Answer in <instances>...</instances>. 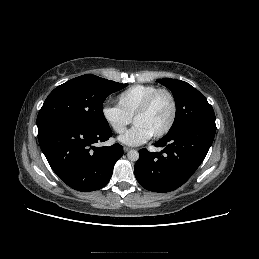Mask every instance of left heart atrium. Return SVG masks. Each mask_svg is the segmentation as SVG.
<instances>
[{"label":"left heart atrium","mask_w":259,"mask_h":259,"mask_svg":"<svg viewBox=\"0 0 259 259\" xmlns=\"http://www.w3.org/2000/svg\"><path fill=\"white\" fill-rule=\"evenodd\" d=\"M152 135L142 126L134 125L131 129L121 135L118 140L129 146H137L148 141Z\"/></svg>","instance_id":"left-heart-atrium-1"}]
</instances>
